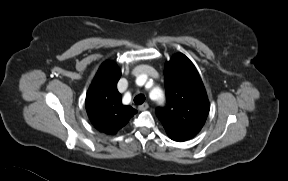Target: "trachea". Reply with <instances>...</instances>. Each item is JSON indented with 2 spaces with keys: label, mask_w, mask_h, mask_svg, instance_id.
<instances>
[{
  "label": "trachea",
  "mask_w": 288,
  "mask_h": 181,
  "mask_svg": "<svg viewBox=\"0 0 288 181\" xmlns=\"http://www.w3.org/2000/svg\"><path fill=\"white\" fill-rule=\"evenodd\" d=\"M145 101V96L143 94H139L134 98V102L137 105L142 104Z\"/></svg>",
  "instance_id": "obj_1"
}]
</instances>
